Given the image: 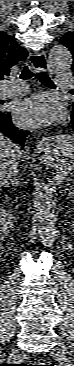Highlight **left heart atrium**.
Wrapping results in <instances>:
<instances>
[{"label": "left heart atrium", "instance_id": "left-heart-atrium-1", "mask_svg": "<svg viewBox=\"0 0 74 366\" xmlns=\"http://www.w3.org/2000/svg\"><path fill=\"white\" fill-rule=\"evenodd\" d=\"M14 113L18 124L29 127L48 126L61 117L58 102L45 94L34 95L19 102Z\"/></svg>", "mask_w": 74, "mask_h": 366}]
</instances>
